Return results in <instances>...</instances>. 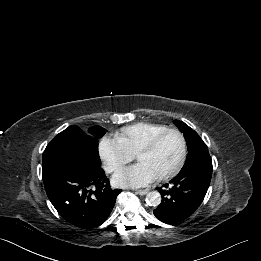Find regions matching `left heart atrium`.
<instances>
[{
  "instance_id": "left-heart-atrium-1",
  "label": "left heart atrium",
  "mask_w": 261,
  "mask_h": 261,
  "mask_svg": "<svg viewBox=\"0 0 261 261\" xmlns=\"http://www.w3.org/2000/svg\"><path fill=\"white\" fill-rule=\"evenodd\" d=\"M156 178L157 176L147 166L138 162L125 171L116 174L113 183L117 186L143 187L152 183Z\"/></svg>"
}]
</instances>
